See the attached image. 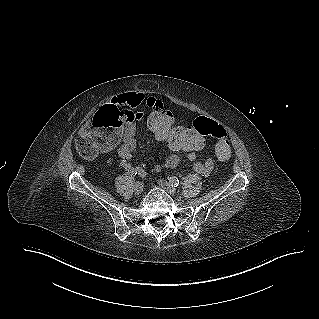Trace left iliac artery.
Listing matches in <instances>:
<instances>
[{
	"label": "left iliac artery",
	"mask_w": 319,
	"mask_h": 319,
	"mask_svg": "<svg viewBox=\"0 0 319 319\" xmlns=\"http://www.w3.org/2000/svg\"><path fill=\"white\" fill-rule=\"evenodd\" d=\"M169 183L173 187H178L179 186V180H178L177 177H174V176L169 178Z\"/></svg>",
	"instance_id": "obj_1"
}]
</instances>
